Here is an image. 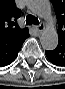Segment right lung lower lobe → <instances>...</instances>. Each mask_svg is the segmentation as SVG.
<instances>
[{"instance_id":"1","label":"right lung lower lobe","mask_w":65,"mask_h":89,"mask_svg":"<svg viewBox=\"0 0 65 89\" xmlns=\"http://www.w3.org/2000/svg\"><path fill=\"white\" fill-rule=\"evenodd\" d=\"M26 38L11 45L0 46V67L9 65L15 60Z\"/></svg>"}]
</instances>
